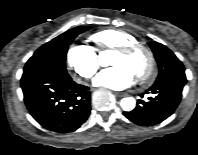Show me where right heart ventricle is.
I'll list each match as a JSON object with an SVG mask.
<instances>
[{
  "mask_svg": "<svg viewBox=\"0 0 198 155\" xmlns=\"http://www.w3.org/2000/svg\"><path fill=\"white\" fill-rule=\"evenodd\" d=\"M91 38L101 49H115L121 45L136 42L131 34L113 28L98 31Z\"/></svg>",
  "mask_w": 198,
  "mask_h": 155,
  "instance_id": "e07e8e85",
  "label": "right heart ventricle"
}]
</instances>
